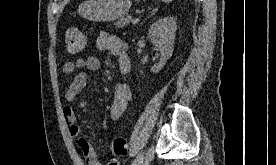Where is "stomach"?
Listing matches in <instances>:
<instances>
[{"instance_id": "stomach-1", "label": "stomach", "mask_w": 276, "mask_h": 165, "mask_svg": "<svg viewBox=\"0 0 276 165\" xmlns=\"http://www.w3.org/2000/svg\"><path fill=\"white\" fill-rule=\"evenodd\" d=\"M131 0H87L78 7V14L95 22H108L124 17Z\"/></svg>"}]
</instances>
